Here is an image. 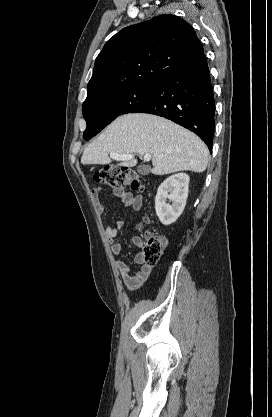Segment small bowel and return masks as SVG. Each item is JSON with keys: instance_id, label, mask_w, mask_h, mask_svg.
Returning a JSON list of instances; mask_svg holds the SVG:
<instances>
[{"instance_id": "1", "label": "small bowel", "mask_w": 272, "mask_h": 417, "mask_svg": "<svg viewBox=\"0 0 272 417\" xmlns=\"http://www.w3.org/2000/svg\"><path fill=\"white\" fill-rule=\"evenodd\" d=\"M101 192L102 187L99 186L94 187L91 191L92 197L96 203L97 212L99 214H102L104 211V206L100 201ZM113 195L117 197L124 206L130 207L135 211L140 210L142 207L143 197L141 195H134L131 192L126 191L124 188H114ZM122 227L123 221L119 220L116 221L112 226L108 225L105 229V234L110 244L111 252L115 255H120L123 251V245L116 241V237ZM132 243L135 247L138 248L143 246V241L138 236H134L132 238ZM134 262L141 265L140 269L135 273L131 272L127 263L123 261L116 262V268L118 270L119 276L126 286V289L130 292L138 290L145 284L152 269L151 266L143 263L141 253L135 255Z\"/></svg>"}]
</instances>
